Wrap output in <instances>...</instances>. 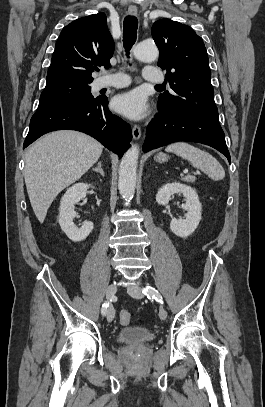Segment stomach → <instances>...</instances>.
<instances>
[{"label":"stomach","instance_id":"0dacf381","mask_svg":"<svg viewBox=\"0 0 265 407\" xmlns=\"http://www.w3.org/2000/svg\"><path fill=\"white\" fill-rule=\"evenodd\" d=\"M155 160L157 162H159V163H163V162H166L168 160V156L166 154H164V153H158L155 156Z\"/></svg>","mask_w":265,"mask_h":407}]
</instances>
